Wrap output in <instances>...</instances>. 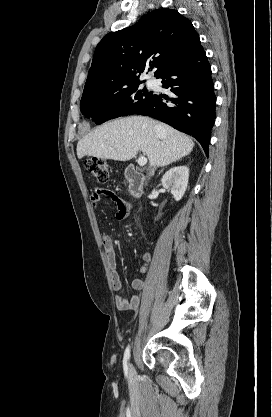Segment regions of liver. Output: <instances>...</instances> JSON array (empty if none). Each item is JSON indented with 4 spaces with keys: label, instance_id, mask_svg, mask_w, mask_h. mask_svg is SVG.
<instances>
[{
    "label": "liver",
    "instance_id": "1",
    "mask_svg": "<svg viewBox=\"0 0 272 417\" xmlns=\"http://www.w3.org/2000/svg\"><path fill=\"white\" fill-rule=\"evenodd\" d=\"M193 147L190 137L169 125L130 116L104 123L80 139L77 156L128 161L141 150L151 167H162L189 155Z\"/></svg>",
    "mask_w": 272,
    "mask_h": 417
}]
</instances>
